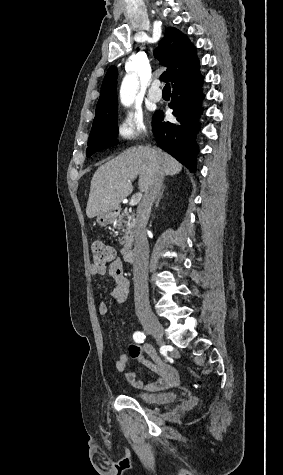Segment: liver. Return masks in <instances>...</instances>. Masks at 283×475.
<instances>
[{
    "instance_id": "obj_1",
    "label": "liver",
    "mask_w": 283,
    "mask_h": 475,
    "mask_svg": "<svg viewBox=\"0 0 283 475\" xmlns=\"http://www.w3.org/2000/svg\"><path fill=\"white\" fill-rule=\"evenodd\" d=\"M157 162L161 164L165 176H175L183 168L172 156L150 146H134L100 166L91 180L87 218H95L108 210H118L122 200L132 194V182L137 176H140L139 190L145 192Z\"/></svg>"
}]
</instances>
